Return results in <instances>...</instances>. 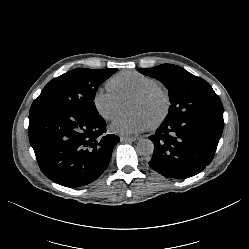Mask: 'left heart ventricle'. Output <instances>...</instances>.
<instances>
[{
  "label": "left heart ventricle",
  "mask_w": 249,
  "mask_h": 249,
  "mask_svg": "<svg viewBox=\"0 0 249 249\" xmlns=\"http://www.w3.org/2000/svg\"><path fill=\"white\" fill-rule=\"evenodd\" d=\"M163 103L160 97H155L148 101L132 100L130 112L141 114L149 124L161 114Z\"/></svg>",
  "instance_id": "obj_1"
}]
</instances>
